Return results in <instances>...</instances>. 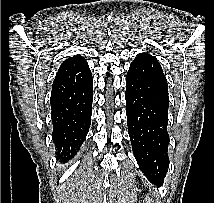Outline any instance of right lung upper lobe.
Wrapping results in <instances>:
<instances>
[{
    "label": "right lung upper lobe",
    "instance_id": "obj_1",
    "mask_svg": "<svg viewBox=\"0 0 214 203\" xmlns=\"http://www.w3.org/2000/svg\"><path fill=\"white\" fill-rule=\"evenodd\" d=\"M86 60L81 56L69 57L61 64L56 76L69 72L80 65L84 64Z\"/></svg>",
    "mask_w": 214,
    "mask_h": 203
}]
</instances>
